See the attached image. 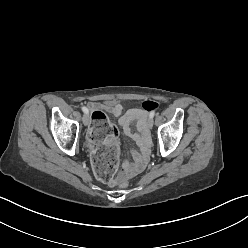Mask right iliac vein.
<instances>
[{"label": "right iliac vein", "mask_w": 248, "mask_h": 248, "mask_svg": "<svg viewBox=\"0 0 248 248\" xmlns=\"http://www.w3.org/2000/svg\"><path fill=\"white\" fill-rule=\"evenodd\" d=\"M82 121H83V124L85 126H87L89 124V121H90V118H89V115L87 113H85L82 117Z\"/></svg>", "instance_id": "obj_1"}]
</instances>
